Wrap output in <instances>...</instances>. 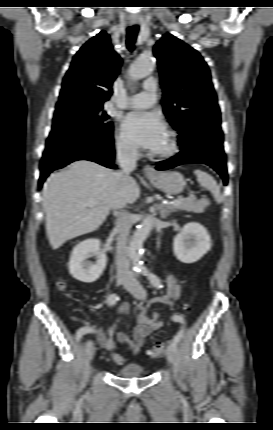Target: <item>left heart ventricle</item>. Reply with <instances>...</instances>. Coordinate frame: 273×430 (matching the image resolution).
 I'll list each match as a JSON object with an SVG mask.
<instances>
[{
    "label": "left heart ventricle",
    "instance_id": "b2bd125f",
    "mask_svg": "<svg viewBox=\"0 0 273 430\" xmlns=\"http://www.w3.org/2000/svg\"><path fill=\"white\" fill-rule=\"evenodd\" d=\"M168 144H169V138L166 135L161 147L157 150V152L165 150L168 147Z\"/></svg>",
    "mask_w": 273,
    "mask_h": 430
}]
</instances>
